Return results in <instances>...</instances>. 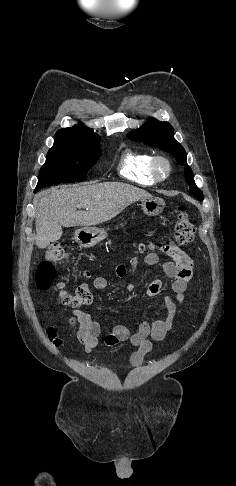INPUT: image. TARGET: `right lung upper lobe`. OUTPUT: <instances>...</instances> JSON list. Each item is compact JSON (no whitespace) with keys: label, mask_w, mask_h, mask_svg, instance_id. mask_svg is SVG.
<instances>
[{"label":"right lung upper lobe","mask_w":236,"mask_h":486,"mask_svg":"<svg viewBox=\"0 0 236 486\" xmlns=\"http://www.w3.org/2000/svg\"><path fill=\"white\" fill-rule=\"evenodd\" d=\"M55 138L72 139L86 143H99V135L81 124L58 130Z\"/></svg>","instance_id":"obj_1"}]
</instances>
